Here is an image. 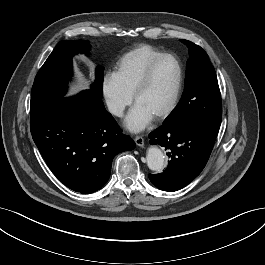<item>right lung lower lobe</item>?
<instances>
[{"label":"right lung lower lobe","instance_id":"obj_1","mask_svg":"<svg viewBox=\"0 0 265 265\" xmlns=\"http://www.w3.org/2000/svg\"><path fill=\"white\" fill-rule=\"evenodd\" d=\"M31 134L53 174L82 194L100 189L110 177L113 158L135 147L90 90L62 100L31 123Z\"/></svg>","mask_w":265,"mask_h":265}]
</instances>
